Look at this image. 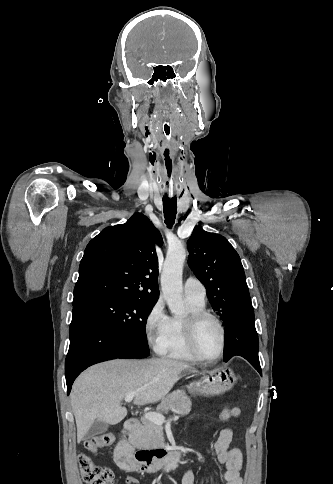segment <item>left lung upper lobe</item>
I'll return each instance as SVG.
<instances>
[{"label":"left lung upper lobe","instance_id":"5c2ea615","mask_svg":"<svg viewBox=\"0 0 333 484\" xmlns=\"http://www.w3.org/2000/svg\"><path fill=\"white\" fill-rule=\"evenodd\" d=\"M188 249L189 266L225 323L235 308L251 300L240 257L225 237L201 227L194 228Z\"/></svg>","mask_w":333,"mask_h":484}]
</instances>
